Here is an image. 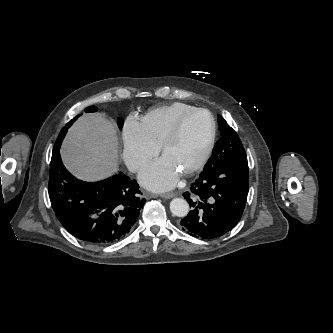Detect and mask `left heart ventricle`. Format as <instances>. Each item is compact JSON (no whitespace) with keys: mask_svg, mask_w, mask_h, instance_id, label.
<instances>
[{"mask_svg":"<svg viewBox=\"0 0 333 333\" xmlns=\"http://www.w3.org/2000/svg\"><path fill=\"white\" fill-rule=\"evenodd\" d=\"M210 132V119L204 112L187 118L177 140L164 152L173 166L182 173L200 157Z\"/></svg>","mask_w":333,"mask_h":333,"instance_id":"1","label":"left heart ventricle"}]
</instances>
